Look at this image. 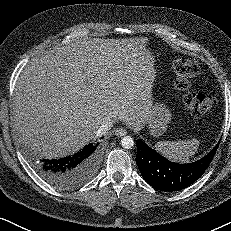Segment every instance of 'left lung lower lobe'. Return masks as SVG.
<instances>
[{"instance_id":"1","label":"left lung lower lobe","mask_w":231,"mask_h":231,"mask_svg":"<svg viewBox=\"0 0 231 231\" xmlns=\"http://www.w3.org/2000/svg\"><path fill=\"white\" fill-rule=\"evenodd\" d=\"M136 163L144 180L160 191H178L193 184L211 163L219 143L198 161L179 164L167 160L142 140H137Z\"/></svg>"}]
</instances>
